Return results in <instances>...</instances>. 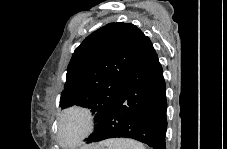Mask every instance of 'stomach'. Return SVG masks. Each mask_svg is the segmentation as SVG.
<instances>
[{
	"label": "stomach",
	"mask_w": 227,
	"mask_h": 149,
	"mask_svg": "<svg viewBox=\"0 0 227 149\" xmlns=\"http://www.w3.org/2000/svg\"><path fill=\"white\" fill-rule=\"evenodd\" d=\"M88 149H100V148H93V147H91V148H88Z\"/></svg>",
	"instance_id": "1"
}]
</instances>
